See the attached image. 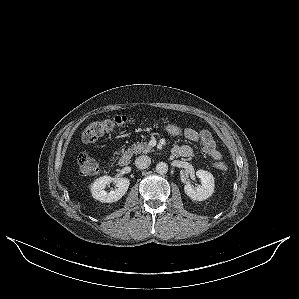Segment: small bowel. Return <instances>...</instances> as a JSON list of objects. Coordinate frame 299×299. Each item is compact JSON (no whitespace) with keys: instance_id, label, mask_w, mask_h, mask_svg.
Returning <instances> with one entry per match:
<instances>
[{"instance_id":"1","label":"small bowel","mask_w":299,"mask_h":299,"mask_svg":"<svg viewBox=\"0 0 299 299\" xmlns=\"http://www.w3.org/2000/svg\"><path fill=\"white\" fill-rule=\"evenodd\" d=\"M184 137L193 142H199L202 145L203 152L215 161L222 159L221 152L217 149L212 134L208 130H196L194 128H185ZM173 154L176 156L190 157L193 149L189 145H175Z\"/></svg>"}]
</instances>
